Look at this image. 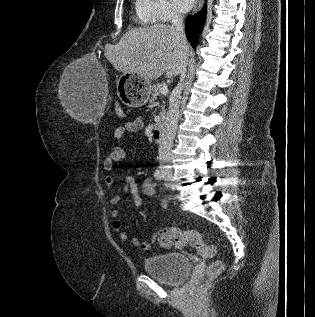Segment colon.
Here are the masks:
<instances>
[{
    "label": "colon",
    "instance_id": "1",
    "mask_svg": "<svg viewBox=\"0 0 315 317\" xmlns=\"http://www.w3.org/2000/svg\"><path fill=\"white\" fill-rule=\"evenodd\" d=\"M118 116L123 117L124 111L121 106L116 107ZM160 246L163 248H170L173 245L180 246L189 243L193 246L199 255L203 257H212L216 253L214 245L206 244L203 240L202 234L194 229L182 230L176 227H168L163 229L158 236ZM224 263L222 260L213 261L205 271H203L190 290L192 297L196 296L198 291L207 286L215 277L222 273Z\"/></svg>",
    "mask_w": 315,
    "mask_h": 317
}]
</instances>
